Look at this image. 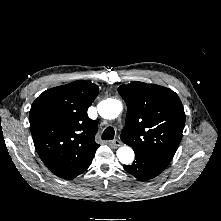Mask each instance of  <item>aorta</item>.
<instances>
[{"label":"aorta","instance_id":"1","mask_svg":"<svg viewBox=\"0 0 221 221\" xmlns=\"http://www.w3.org/2000/svg\"><path fill=\"white\" fill-rule=\"evenodd\" d=\"M122 111V103L116 99H106L98 104V112L105 119H115ZM117 158L122 164H131L134 160V151L129 146L118 148Z\"/></svg>","mask_w":221,"mask_h":221}]
</instances>
